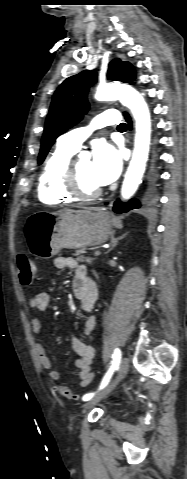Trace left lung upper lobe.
Listing matches in <instances>:
<instances>
[{"instance_id":"5c2ea615","label":"left lung upper lobe","mask_w":187,"mask_h":479,"mask_svg":"<svg viewBox=\"0 0 187 479\" xmlns=\"http://www.w3.org/2000/svg\"><path fill=\"white\" fill-rule=\"evenodd\" d=\"M108 79L130 82L135 79V69L127 61L115 59L109 64ZM97 73L85 70L67 78L53 95L46 119L38 163L41 164L55 139L78 123L89 109L87 93L96 82ZM133 84L132 82H130Z\"/></svg>"}]
</instances>
